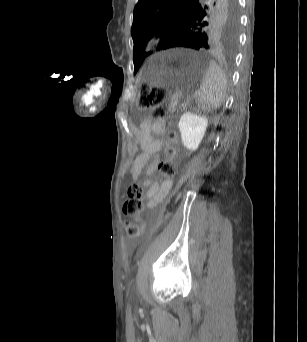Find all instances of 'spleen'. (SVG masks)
Here are the masks:
<instances>
[{
	"label": "spleen",
	"mask_w": 307,
	"mask_h": 342,
	"mask_svg": "<svg viewBox=\"0 0 307 342\" xmlns=\"http://www.w3.org/2000/svg\"><path fill=\"white\" fill-rule=\"evenodd\" d=\"M227 92V80L215 59H210V66L204 74L197 102L202 104L205 114H215L220 108Z\"/></svg>",
	"instance_id": "3e777b00"
}]
</instances>
